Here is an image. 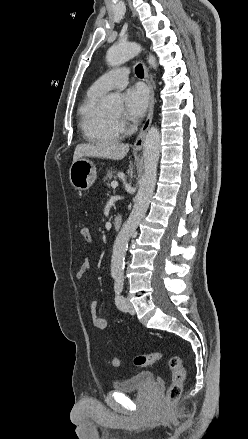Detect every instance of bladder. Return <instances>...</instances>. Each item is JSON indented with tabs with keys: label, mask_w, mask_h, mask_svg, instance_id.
I'll return each instance as SVG.
<instances>
[{
	"label": "bladder",
	"mask_w": 248,
	"mask_h": 439,
	"mask_svg": "<svg viewBox=\"0 0 248 439\" xmlns=\"http://www.w3.org/2000/svg\"><path fill=\"white\" fill-rule=\"evenodd\" d=\"M154 383V375L151 371H140L133 376L114 381L112 383V388L119 392H134L142 390Z\"/></svg>",
	"instance_id": "obj_1"
}]
</instances>
